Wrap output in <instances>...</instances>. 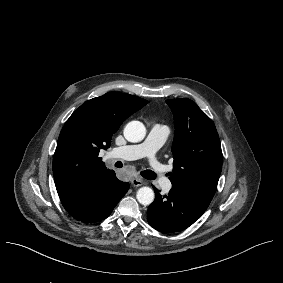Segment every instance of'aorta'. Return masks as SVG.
<instances>
[{
	"label": "aorta",
	"instance_id": "aorta-1",
	"mask_svg": "<svg viewBox=\"0 0 283 283\" xmlns=\"http://www.w3.org/2000/svg\"><path fill=\"white\" fill-rule=\"evenodd\" d=\"M124 137L127 141L137 143L144 139L146 128L139 121H131L124 128ZM136 198L142 205H150L155 198L154 191L150 187H141L138 189Z\"/></svg>",
	"mask_w": 283,
	"mask_h": 283
}]
</instances>
